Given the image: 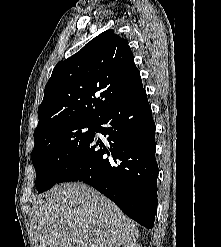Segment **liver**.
I'll use <instances>...</instances> for the list:
<instances>
[{
    "instance_id": "obj_1",
    "label": "liver",
    "mask_w": 221,
    "mask_h": 247,
    "mask_svg": "<svg viewBox=\"0 0 221 247\" xmlns=\"http://www.w3.org/2000/svg\"><path fill=\"white\" fill-rule=\"evenodd\" d=\"M31 229L35 247H120L139 236L113 202L81 183L57 185L39 197Z\"/></svg>"
}]
</instances>
